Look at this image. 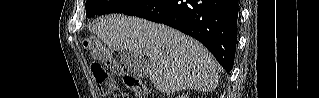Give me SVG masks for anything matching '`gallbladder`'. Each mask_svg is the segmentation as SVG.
Returning a JSON list of instances; mask_svg holds the SVG:
<instances>
[{
    "label": "gallbladder",
    "instance_id": "obj_1",
    "mask_svg": "<svg viewBox=\"0 0 319 98\" xmlns=\"http://www.w3.org/2000/svg\"><path fill=\"white\" fill-rule=\"evenodd\" d=\"M120 61L123 64V66L130 72H139V60L132 54L123 51L120 54Z\"/></svg>",
    "mask_w": 319,
    "mask_h": 98
}]
</instances>
